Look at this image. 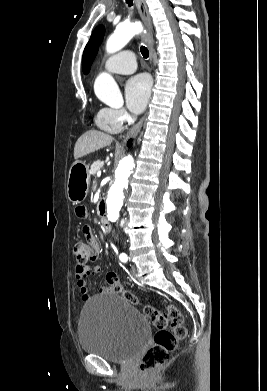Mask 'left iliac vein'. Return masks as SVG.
I'll use <instances>...</instances> for the list:
<instances>
[{
    "label": "left iliac vein",
    "mask_w": 267,
    "mask_h": 391,
    "mask_svg": "<svg viewBox=\"0 0 267 391\" xmlns=\"http://www.w3.org/2000/svg\"><path fill=\"white\" fill-rule=\"evenodd\" d=\"M131 274H132V276H133V277H135V276H136V274H137V268H136V266H135V265H133V266H132V269H131Z\"/></svg>",
    "instance_id": "4c4485c4"
}]
</instances>
